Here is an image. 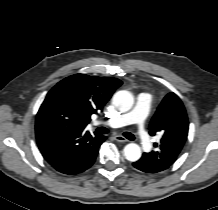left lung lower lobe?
<instances>
[{
	"label": "left lung lower lobe",
	"instance_id": "left-lung-lower-lobe-1",
	"mask_svg": "<svg viewBox=\"0 0 218 210\" xmlns=\"http://www.w3.org/2000/svg\"><path fill=\"white\" fill-rule=\"evenodd\" d=\"M174 163V160L170 157H160L152 151L150 153H144L142 157L133 163V166L143 172L157 173L169 168Z\"/></svg>",
	"mask_w": 218,
	"mask_h": 210
}]
</instances>
